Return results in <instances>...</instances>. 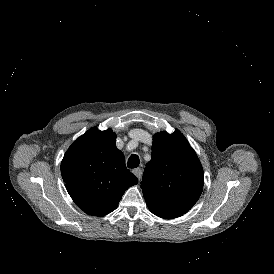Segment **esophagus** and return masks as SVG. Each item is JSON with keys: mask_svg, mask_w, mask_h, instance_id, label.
Listing matches in <instances>:
<instances>
[{"mask_svg": "<svg viewBox=\"0 0 274 274\" xmlns=\"http://www.w3.org/2000/svg\"><path fill=\"white\" fill-rule=\"evenodd\" d=\"M132 172H133V174H135V176H137L138 179L141 178V176H142L141 168H135V169L132 170Z\"/></svg>", "mask_w": 274, "mask_h": 274, "instance_id": "34e87169", "label": "esophagus"}]
</instances>
